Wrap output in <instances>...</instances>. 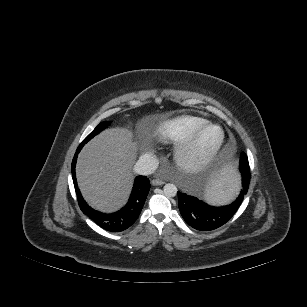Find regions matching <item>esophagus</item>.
I'll list each match as a JSON object with an SVG mask.
<instances>
[{
  "label": "esophagus",
  "mask_w": 307,
  "mask_h": 307,
  "mask_svg": "<svg viewBox=\"0 0 307 307\" xmlns=\"http://www.w3.org/2000/svg\"><path fill=\"white\" fill-rule=\"evenodd\" d=\"M152 185L153 186H159V185H163L164 184V181L160 180V179H153L151 181Z\"/></svg>",
  "instance_id": "34e87169"
}]
</instances>
